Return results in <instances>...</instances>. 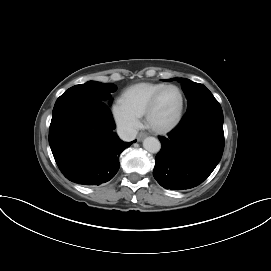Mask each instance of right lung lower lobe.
<instances>
[{"mask_svg": "<svg viewBox=\"0 0 271 271\" xmlns=\"http://www.w3.org/2000/svg\"><path fill=\"white\" fill-rule=\"evenodd\" d=\"M114 129L111 111L104 101H81L54 108L49 144L64 176L84 185L112 179L120 167V153L133 143L120 140Z\"/></svg>", "mask_w": 271, "mask_h": 271, "instance_id": "obj_1", "label": "right lung lower lobe"}]
</instances>
